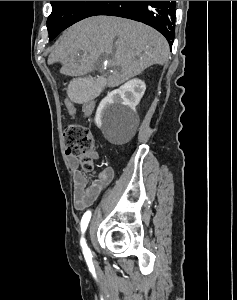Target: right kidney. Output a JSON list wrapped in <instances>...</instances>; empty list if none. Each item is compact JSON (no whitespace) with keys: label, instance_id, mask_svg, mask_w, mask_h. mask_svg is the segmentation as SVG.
Returning <instances> with one entry per match:
<instances>
[{"label":"right kidney","instance_id":"right-kidney-1","mask_svg":"<svg viewBox=\"0 0 237 300\" xmlns=\"http://www.w3.org/2000/svg\"><path fill=\"white\" fill-rule=\"evenodd\" d=\"M146 91V85L144 81H140V79H132V81H128L119 89H115V91H111L105 99H102L95 115V123L97 127H101V115L102 111L111 105V103H119V105H126V107H130L132 111H135L139 101H141L144 93Z\"/></svg>","mask_w":237,"mask_h":300}]
</instances>
